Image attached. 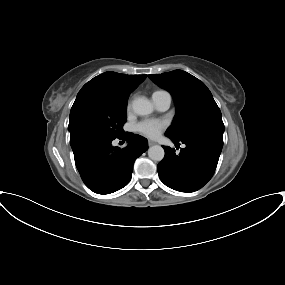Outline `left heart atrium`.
Masks as SVG:
<instances>
[{
  "label": "left heart atrium",
  "instance_id": "1",
  "mask_svg": "<svg viewBox=\"0 0 285 285\" xmlns=\"http://www.w3.org/2000/svg\"><path fill=\"white\" fill-rule=\"evenodd\" d=\"M166 127V123L157 119H147L137 124L136 130L148 138H156Z\"/></svg>",
  "mask_w": 285,
  "mask_h": 285
}]
</instances>
